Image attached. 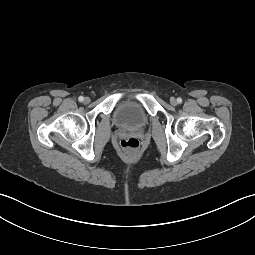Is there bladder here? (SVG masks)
Instances as JSON below:
<instances>
[{
  "label": "bladder",
  "instance_id": "bladder-1",
  "mask_svg": "<svg viewBox=\"0 0 255 255\" xmlns=\"http://www.w3.org/2000/svg\"><path fill=\"white\" fill-rule=\"evenodd\" d=\"M113 119L116 125L130 129L142 128L148 121L142 107L133 101L120 102L114 110Z\"/></svg>",
  "mask_w": 255,
  "mask_h": 255
}]
</instances>
